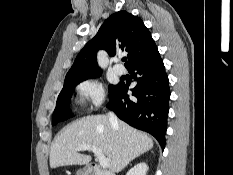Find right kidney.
<instances>
[{
    "label": "right kidney",
    "mask_w": 233,
    "mask_h": 175,
    "mask_svg": "<svg viewBox=\"0 0 233 175\" xmlns=\"http://www.w3.org/2000/svg\"><path fill=\"white\" fill-rule=\"evenodd\" d=\"M148 171V166L146 163L141 162L131 168L126 175H146Z\"/></svg>",
    "instance_id": "1"
}]
</instances>
